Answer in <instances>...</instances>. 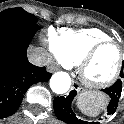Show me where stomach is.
I'll use <instances>...</instances> for the list:
<instances>
[{"label": "stomach", "instance_id": "0dacf381", "mask_svg": "<svg viewBox=\"0 0 124 124\" xmlns=\"http://www.w3.org/2000/svg\"><path fill=\"white\" fill-rule=\"evenodd\" d=\"M82 95L89 97L92 101H101L102 103L104 102V98L101 95H99L98 97L96 95H89L85 93H83Z\"/></svg>", "mask_w": 124, "mask_h": 124}]
</instances>
